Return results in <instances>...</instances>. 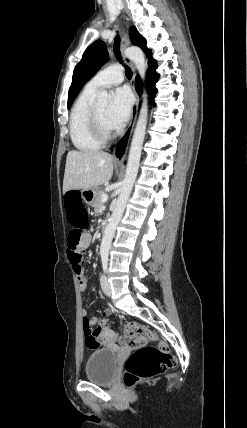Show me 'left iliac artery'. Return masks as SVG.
I'll return each instance as SVG.
<instances>
[{"label":"left iliac artery","mask_w":247,"mask_h":428,"mask_svg":"<svg viewBox=\"0 0 247 428\" xmlns=\"http://www.w3.org/2000/svg\"><path fill=\"white\" fill-rule=\"evenodd\" d=\"M107 266H108V257L107 256H103L102 257V267H103L104 271L107 270Z\"/></svg>","instance_id":"44dca946"}]
</instances>
